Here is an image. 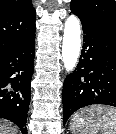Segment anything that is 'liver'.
Segmentation results:
<instances>
[{
    "mask_svg": "<svg viewBox=\"0 0 116 134\" xmlns=\"http://www.w3.org/2000/svg\"><path fill=\"white\" fill-rule=\"evenodd\" d=\"M17 132V128L12 124L0 121V134H17Z\"/></svg>",
    "mask_w": 116,
    "mask_h": 134,
    "instance_id": "1",
    "label": "liver"
}]
</instances>
